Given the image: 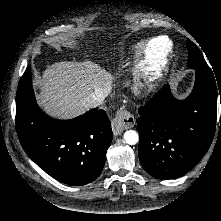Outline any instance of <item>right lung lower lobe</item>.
<instances>
[{"label":"right lung lower lobe","mask_w":221,"mask_h":221,"mask_svg":"<svg viewBox=\"0 0 221 221\" xmlns=\"http://www.w3.org/2000/svg\"><path fill=\"white\" fill-rule=\"evenodd\" d=\"M16 129L29 157L56 180L73 186L100 175L113 137L104 110L95 108L72 120L44 114L35 101L30 65L17 89Z\"/></svg>","instance_id":"1"}]
</instances>
